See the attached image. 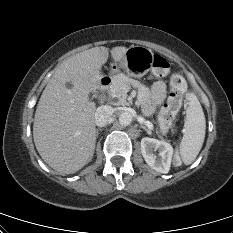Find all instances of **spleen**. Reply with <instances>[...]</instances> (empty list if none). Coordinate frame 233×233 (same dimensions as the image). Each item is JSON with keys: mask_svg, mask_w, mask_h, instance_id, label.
I'll list each match as a JSON object with an SVG mask.
<instances>
[{"mask_svg": "<svg viewBox=\"0 0 233 233\" xmlns=\"http://www.w3.org/2000/svg\"><path fill=\"white\" fill-rule=\"evenodd\" d=\"M188 107L184 123V135L180 143V157L185 165H190L199 154L206 130V120L201 104L194 93L187 95ZM177 162L178 159L176 158Z\"/></svg>", "mask_w": 233, "mask_h": 233, "instance_id": "spleen-1", "label": "spleen"}]
</instances>
